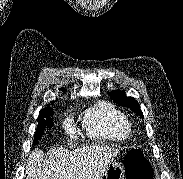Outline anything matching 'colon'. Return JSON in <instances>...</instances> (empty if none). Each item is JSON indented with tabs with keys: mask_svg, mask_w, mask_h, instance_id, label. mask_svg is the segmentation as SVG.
Here are the masks:
<instances>
[{
	"mask_svg": "<svg viewBox=\"0 0 183 179\" xmlns=\"http://www.w3.org/2000/svg\"><path fill=\"white\" fill-rule=\"evenodd\" d=\"M126 179H152V168L139 149L130 150L124 161Z\"/></svg>",
	"mask_w": 183,
	"mask_h": 179,
	"instance_id": "1",
	"label": "colon"
}]
</instances>
